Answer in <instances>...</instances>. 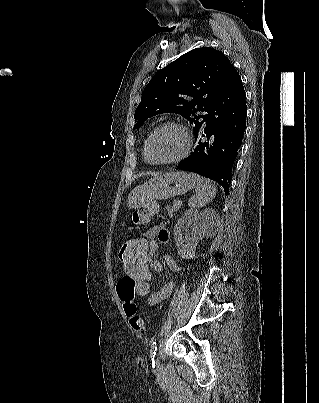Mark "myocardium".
Masks as SVG:
<instances>
[{
  "label": "myocardium",
  "mask_w": 319,
  "mask_h": 403,
  "mask_svg": "<svg viewBox=\"0 0 319 403\" xmlns=\"http://www.w3.org/2000/svg\"><path fill=\"white\" fill-rule=\"evenodd\" d=\"M165 128H176L181 132L183 139H184L183 149L177 156H175L173 158L163 160V161H153L149 158L150 143H151L152 139L154 138V136L159 131H161ZM191 147H192V139H191V136H190V133H189L187 127L180 122L166 121V122L158 125L148 136V138L145 142V145H144V158L148 163L153 164V165L174 164V163H178V162L184 160L189 155Z\"/></svg>",
  "instance_id": "f54148a6"
}]
</instances>
